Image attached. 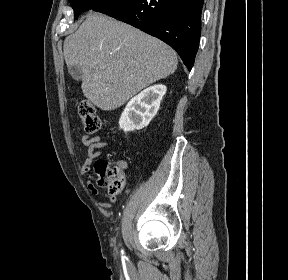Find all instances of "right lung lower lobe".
Listing matches in <instances>:
<instances>
[{
	"instance_id": "1",
	"label": "right lung lower lobe",
	"mask_w": 288,
	"mask_h": 280,
	"mask_svg": "<svg viewBox=\"0 0 288 280\" xmlns=\"http://www.w3.org/2000/svg\"><path fill=\"white\" fill-rule=\"evenodd\" d=\"M203 1L110 0L93 10L161 39L191 70L199 46Z\"/></svg>"
}]
</instances>
